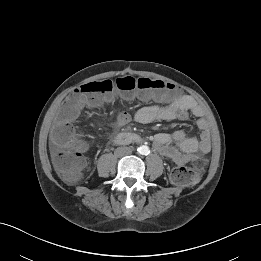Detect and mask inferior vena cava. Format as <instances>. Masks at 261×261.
<instances>
[{
  "label": "inferior vena cava",
  "mask_w": 261,
  "mask_h": 261,
  "mask_svg": "<svg viewBox=\"0 0 261 261\" xmlns=\"http://www.w3.org/2000/svg\"><path fill=\"white\" fill-rule=\"evenodd\" d=\"M132 151V147H119L116 149V154H118L119 156L129 155L132 153Z\"/></svg>",
  "instance_id": "inferior-vena-cava-1"
}]
</instances>
